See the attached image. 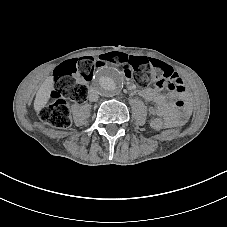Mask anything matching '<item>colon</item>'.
I'll list each match as a JSON object with an SVG mask.
<instances>
[{
	"instance_id": "5ec220e1",
	"label": "colon",
	"mask_w": 227,
	"mask_h": 227,
	"mask_svg": "<svg viewBox=\"0 0 227 227\" xmlns=\"http://www.w3.org/2000/svg\"><path fill=\"white\" fill-rule=\"evenodd\" d=\"M111 64L121 68L125 75L133 78L141 86L154 83L171 94L183 91V81L173 68L154 58L128 56L120 52H110L97 58L81 57L63 62L53 74L51 101L40 112V119L58 129L68 128L71 115L66 99L81 103L86 100L88 84L96 67ZM154 129L168 127L162 118L151 121Z\"/></svg>"
}]
</instances>
